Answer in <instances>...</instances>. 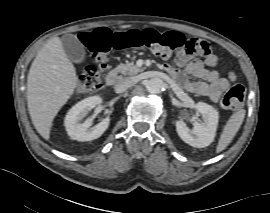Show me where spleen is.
<instances>
[{
  "label": "spleen",
  "instance_id": "3e777b00",
  "mask_svg": "<svg viewBox=\"0 0 270 213\" xmlns=\"http://www.w3.org/2000/svg\"><path fill=\"white\" fill-rule=\"evenodd\" d=\"M245 111L241 110L237 113H234L229 120L227 121L223 132L221 134V137L219 139L216 152L220 153L223 151L229 143L232 141L236 133L238 132L240 126L242 125V122L244 120Z\"/></svg>",
  "mask_w": 270,
  "mask_h": 213
}]
</instances>
